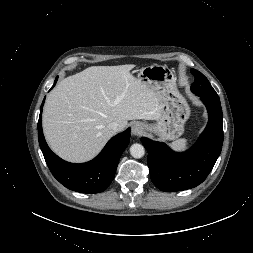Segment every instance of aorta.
Segmentation results:
<instances>
[{
    "mask_svg": "<svg viewBox=\"0 0 253 253\" xmlns=\"http://www.w3.org/2000/svg\"><path fill=\"white\" fill-rule=\"evenodd\" d=\"M130 154L134 158H141L145 154V148L141 144L135 143L130 147Z\"/></svg>",
    "mask_w": 253,
    "mask_h": 253,
    "instance_id": "aorta-1",
    "label": "aorta"
}]
</instances>
